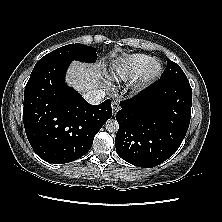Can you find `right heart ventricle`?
<instances>
[{
  "instance_id": "right-heart-ventricle-1",
  "label": "right heart ventricle",
  "mask_w": 222,
  "mask_h": 222,
  "mask_svg": "<svg viewBox=\"0 0 222 222\" xmlns=\"http://www.w3.org/2000/svg\"><path fill=\"white\" fill-rule=\"evenodd\" d=\"M152 58L144 54H131L117 63L111 72L116 81H131L139 77L147 68Z\"/></svg>"
}]
</instances>
